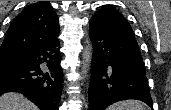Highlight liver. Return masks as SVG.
I'll use <instances>...</instances> for the list:
<instances>
[{
	"label": "liver",
	"mask_w": 171,
	"mask_h": 110,
	"mask_svg": "<svg viewBox=\"0 0 171 110\" xmlns=\"http://www.w3.org/2000/svg\"><path fill=\"white\" fill-rule=\"evenodd\" d=\"M0 110H38L37 107L18 93H6L0 97Z\"/></svg>",
	"instance_id": "liver-1"
}]
</instances>
